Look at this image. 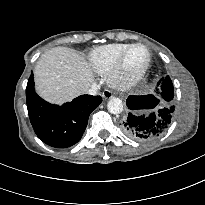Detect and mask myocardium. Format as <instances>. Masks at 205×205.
<instances>
[{
  "label": "myocardium",
  "mask_w": 205,
  "mask_h": 205,
  "mask_svg": "<svg viewBox=\"0 0 205 205\" xmlns=\"http://www.w3.org/2000/svg\"><path fill=\"white\" fill-rule=\"evenodd\" d=\"M136 47H142L147 52L145 64L135 72H128L126 69V60L129 53ZM151 65L150 49L142 43L130 45L120 56L115 66L109 72V83L117 89H130L142 81Z\"/></svg>",
  "instance_id": "1"
}]
</instances>
